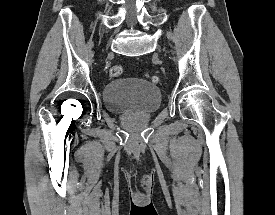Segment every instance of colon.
<instances>
[{
    "mask_svg": "<svg viewBox=\"0 0 275 215\" xmlns=\"http://www.w3.org/2000/svg\"><path fill=\"white\" fill-rule=\"evenodd\" d=\"M123 68L120 65H113L110 69H109V74L112 78H118L121 77L123 75ZM152 81L157 82L158 78L156 76H152L151 77Z\"/></svg>",
    "mask_w": 275,
    "mask_h": 215,
    "instance_id": "1",
    "label": "colon"
}]
</instances>
